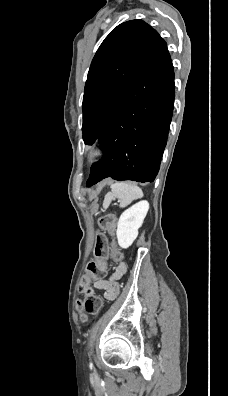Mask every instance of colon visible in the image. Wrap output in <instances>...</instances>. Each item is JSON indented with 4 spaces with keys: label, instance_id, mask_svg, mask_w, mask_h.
Masks as SVG:
<instances>
[{
    "label": "colon",
    "instance_id": "colon-1",
    "mask_svg": "<svg viewBox=\"0 0 228 396\" xmlns=\"http://www.w3.org/2000/svg\"><path fill=\"white\" fill-rule=\"evenodd\" d=\"M116 228V216L111 213L103 214L98 219V234L96 245L94 249L95 259L91 261L85 270L81 279L79 290L84 293L83 300L78 302V309L81 318L85 320L89 315L98 314L103 306L102 299L95 294L91 287L90 282L95 279L102 278L105 274V260L107 257V242L104 233L113 234ZM113 258L119 260L120 254L112 248Z\"/></svg>",
    "mask_w": 228,
    "mask_h": 396
}]
</instances>
